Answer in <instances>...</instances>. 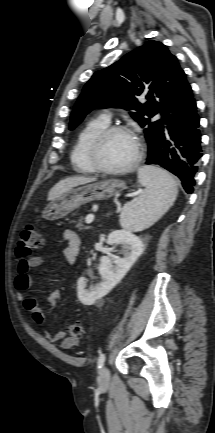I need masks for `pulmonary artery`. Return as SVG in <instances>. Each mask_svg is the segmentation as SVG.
Returning a JSON list of instances; mask_svg holds the SVG:
<instances>
[{"label":"pulmonary artery","mask_w":215,"mask_h":433,"mask_svg":"<svg viewBox=\"0 0 215 433\" xmlns=\"http://www.w3.org/2000/svg\"><path fill=\"white\" fill-rule=\"evenodd\" d=\"M104 117L106 118V119H110V113L109 112H106L105 114H104ZM158 119H160L161 118V116L160 115H157L156 116Z\"/></svg>","instance_id":"1"}]
</instances>
